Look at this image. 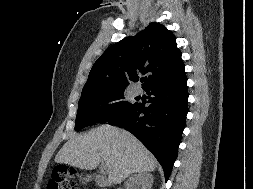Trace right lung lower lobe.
<instances>
[{
  "mask_svg": "<svg viewBox=\"0 0 253 189\" xmlns=\"http://www.w3.org/2000/svg\"><path fill=\"white\" fill-rule=\"evenodd\" d=\"M145 90L151 95L148 107L136 103L108 124L120 126L141 140L161 164L167 181L177 157L188 112L187 78L184 74Z\"/></svg>",
  "mask_w": 253,
  "mask_h": 189,
  "instance_id": "98d812e1",
  "label": "right lung lower lobe"
}]
</instances>
